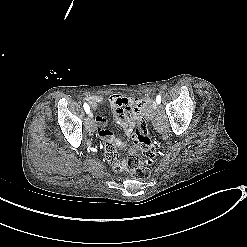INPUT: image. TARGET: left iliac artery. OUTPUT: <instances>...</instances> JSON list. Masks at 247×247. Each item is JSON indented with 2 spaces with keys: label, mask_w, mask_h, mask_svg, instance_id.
<instances>
[{
  "label": "left iliac artery",
  "mask_w": 247,
  "mask_h": 247,
  "mask_svg": "<svg viewBox=\"0 0 247 247\" xmlns=\"http://www.w3.org/2000/svg\"><path fill=\"white\" fill-rule=\"evenodd\" d=\"M156 102H157L158 104L161 103V96H160V95H157V97H156Z\"/></svg>",
  "instance_id": "left-iliac-artery-1"
}]
</instances>
